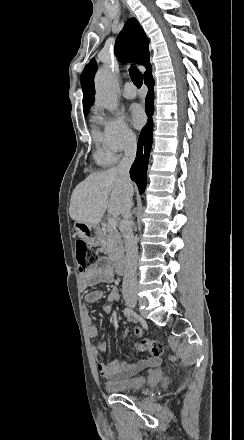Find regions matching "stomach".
I'll return each instance as SVG.
<instances>
[{"mask_svg":"<svg viewBox=\"0 0 244 440\" xmlns=\"http://www.w3.org/2000/svg\"><path fill=\"white\" fill-rule=\"evenodd\" d=\"M75 234L84 240L89 246H99L100 226L99 224H87V222H75Z\"/></svg>","mask_w":244,"mask_h":440,"instance_id":"1","label":"stomach"}]
</instances>
